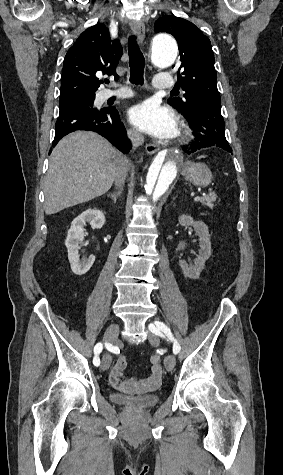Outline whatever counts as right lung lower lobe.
<instances>
[{
	"label": "right lung lower lobe",
	"instance_id": "98d812e1",
	"mask_svg": "<svg viewBox=\"0 0 283 475\" xmlns=\"http://www.w3.org/2000/svg\"><path fill=\"white\" fill-rule=\"evenodd\" d=\"M55 129L52 147L62 137L71 132L87 130L104 136L123 153H128L131 148L126 129L120 121L119 113L115 107L99 109L94 107L93 104L86 102H72L62 105L60 106Z\"/></svg>",
	"mask_w": 283,
	"mask_h": 475
}]
</instances>
